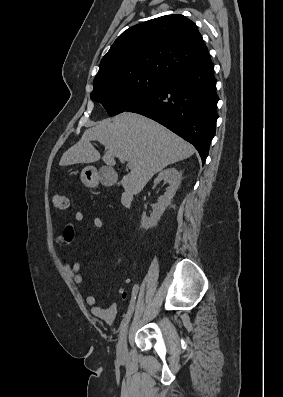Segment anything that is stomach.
Wrapping results in <instances>:
<instances>
[{
	"instance_id": "stomach-1",
	"label": "stomach",
	"mask_w": 283,
	"mask_h": 397,
	"mask_svg": "<svg viewBox=\"0 0 283 397\" xmlns=\"http://www.w3.org/2000/svg\"><path fill=\"white\" fill-rule=\"evenodd\" d=\"M100 179V173L93 166H87L81 172V180L88 187L97 186Z\"/></svg>"
}]
</instances>
